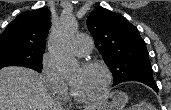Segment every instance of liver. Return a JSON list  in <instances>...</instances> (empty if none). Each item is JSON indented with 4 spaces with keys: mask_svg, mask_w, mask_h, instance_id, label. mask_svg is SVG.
<instances>
[{
    "mask_svg": "<svg viewBox=\"0 0 171 110\" xmlns=\"http://www.w3.org/2000/svg\"><path fill=\"white\" fill-rule=\"evenodd\" d=\"M100 105H93L87 110ZM0 110H63L48 94L36 71L10 66L0 70Z\"/></svg>",
    "mask_w": 171,
    "mask_h": 110,
    "instance_id": "6515ba94",
    "label": "liver"
}]
</instances>
